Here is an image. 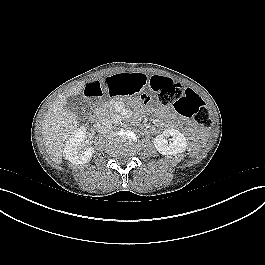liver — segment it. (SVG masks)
<instances>
[{"mask_svg":"<svg viewBox=\"0 0 265 265\" xmlns=\"http://www.w3.org/2000/svg\"><path fill=\"white\" fill-rule=\"evenodd\" d=\"M85 88V82L73 86L61 94L50 106L42 122V136L50 158L57 164L62 163L65 143L79 124L76 113L66 108L67 98L79 95Z\"/></svg>","mask_w":265,"mask_h":265,"instance_id":"liver-1","label":"liver"}]
</instances>
